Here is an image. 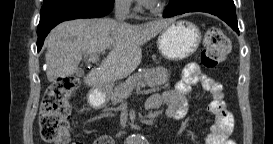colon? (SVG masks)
<instances>
[{
    "mask_svg": "<svg viewBox=\"0 0 273 144\" xmlns=\"http://www.w3.org/2000/svg\"><path fill=\"white\" fill-rule=\"evenodd\" d=\"M229 48V40L224 31L217 26L209 27L203 39L202 66L206 69L217 67L225 59ZM77 85V78L67 76L53 82L49 87L39 114L40 134L45 142L65 144L70 141L69 96Z\"/></svg>",
    "mask_w": 273,
    "mask_h": 144,
    "instance_id": "colon-1",
    "label": "colon"
}]
</instances>
